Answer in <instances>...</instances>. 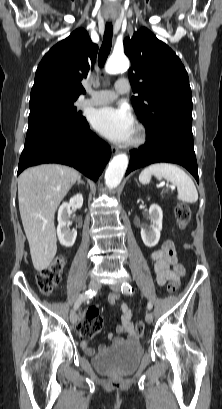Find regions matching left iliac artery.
Masks as SVG:
<instances>
[{"label": "left iliac artery", "instance_id": "1", "mask_svg": "<svg viewBox=\"0 0 222 409\" xmlns=\"http://www.w3.org/2000/svg\"><path fill=\"white\" fill-rule=\"evenodd\" d=\"M121 291H122V293H124V294H132L133 288H132V286H131L129 283L125 282V283H123L122 286H121ZM147 308H148V310H151V309H152V303H151V302H148Z\"/></svg>", "mask_w": 222, "mask_h": 409}]
</instances>
